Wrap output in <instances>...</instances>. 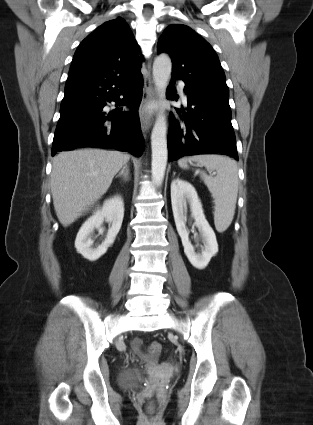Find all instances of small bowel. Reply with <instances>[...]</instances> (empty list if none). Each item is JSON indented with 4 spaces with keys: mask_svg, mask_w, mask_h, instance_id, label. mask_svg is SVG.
<instances>
[{
    "mask_svg": "<svg viewBox=\"0 0 313 425\" xmlns=\"http://www.w3.org/2000/svg\"><path fill=\"white\" fill-rule=\"evenodd\" d=\"M140 341L139 340H135L134 341V347L138 348L140 346Z\"/></svg>",
    "mask_w": 313,
    "mask_h": 425,
    "instance_id": "obj_1",
    "label": "small bowel"
}]
</instances>
